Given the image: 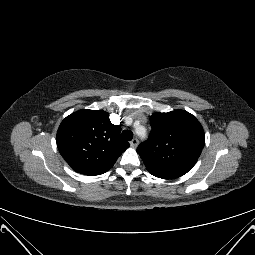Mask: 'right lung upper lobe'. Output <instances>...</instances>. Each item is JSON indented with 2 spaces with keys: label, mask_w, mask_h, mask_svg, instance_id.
I'll return each mask as SVG.
<instances>
[{
  "label": "right lung upper lobe",
  "mask_w": 255,
  "mask_h": 255,
  "mask_svg": "<svg viewBox=\"0 0 255 255\" xmlns=\"http://www.w3.org/2000/svg\"><path fill=\"white\" fill-rule=\"evenodd\" d=\"M121 127L103 110H79L59 126L57 147L73 170L94 176L107 172L129 147L120 137Z\"/></svg>",
  "instance_id": "right-lung-upper-lobe-1"
}]
</instances>
